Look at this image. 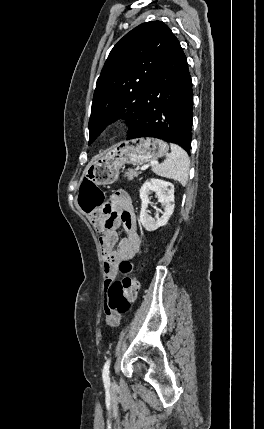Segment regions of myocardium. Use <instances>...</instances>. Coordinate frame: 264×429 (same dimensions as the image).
Instances as JSON below:
<instances>
[{"instance_id":"myocardium-1","label":"myocardium","mask_w":264,"mask_h":429,"mask_svg":"<svg viewBox=\"0 0 264 429\" xmlns=\"http://www.w3.org/2000/svg\"><path fill=\"white\" fill-rule=\"evenodd\" d=\"M113 128V126H110L109 128H108V130H111Z\"/></svg>"}]
</instances>
